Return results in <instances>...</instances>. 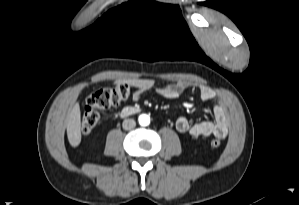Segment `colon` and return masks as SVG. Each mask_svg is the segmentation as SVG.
<instances>
[{
  "mask_svg": "<svg viewBox=\"0 0 299 205\" xmlns=\"http://www.w3.org/2000/svg\"><path fill=\"white\" fill-rule=\"evenodd\" d=\"M132 85L122 81L112 87H103L91 93L86 99L85 110L81 120L83 134H89L99 121L98 111L115 107L130 95ZM211 145L215 148L221 145L219 139H212Z\"/></svg>",
  "mask_w": 299,
  "mask_h": 205,
  "instance_id": "obj_1",
  "label": "colon"
}]
</instances>
